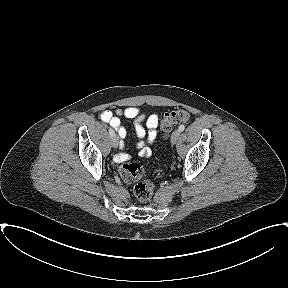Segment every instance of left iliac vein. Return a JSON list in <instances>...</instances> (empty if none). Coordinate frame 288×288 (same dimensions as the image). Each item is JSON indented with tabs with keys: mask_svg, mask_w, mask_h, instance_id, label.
Masks as SVG:
<instances>
[{
	"mask_svg": "<svg viewBox=\"0 0 288 288\" xmlns=\"http://www.w3.org/2000/svg\"><path fill=\"white\" fill-rule=\"evenodd\" d=\"M179 136H180V131H179V130H175V131L172 133V136H171V143H172V144H175V143L178 141Z\"/></svg>",
	"mask_w": 288,
	"mask_h": 288,
	"instance_id": "1",
	"label": "left iliac vein"
}]
</instances>
